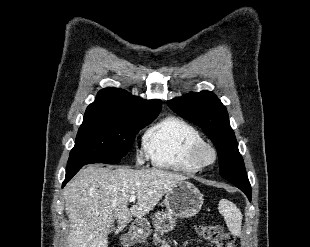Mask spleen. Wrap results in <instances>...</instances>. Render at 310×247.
<instances>
[{"label": "spleen", "mask_w": 310, "mask_h": 247, "mask_svg": "<svg viewBox=\"0 0 310 247\" xmlns=\"http://www.w3.org/2000/svg\"><path fill=\"white\" fill-rule=\"evenodd\" d=\"M219 212L223 215L229 231L235 235H241L242 214L235 204L227 199L219 202Z\"/></svg>", "instance_id": "obj_1"}]
</instances>
